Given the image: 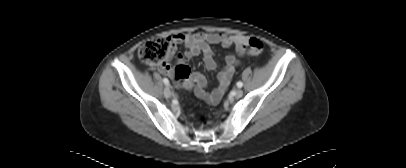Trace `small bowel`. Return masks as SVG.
<instances>
[{"mask_svg": "<svg viewBox=\"0 0 406 168\" xmlns=\"http://www.w3.org/2000/svg\"><path fill=\"white\" fill-rule=\"evenodd\" d=\"M172 40L173 46L170 54L171 56L175 54L176 44H183L185 46L184 53L177 55L178 65H184L189 68L187 60L202 54L205 67L209 70H214L217 68V62L214 58L211 45L219 44L224 48L233 46L237 53L241 55L242 44L246 43L248 39L246 36L242 35L198 32L193 34H177L173 36ZM224 61L225 67L218 74V84L211 93L206 92L205 88L207 81L200 73L191 74L189 71L186 76L177 77L174 69L168 62L156 65L154 68L161 74L171 76L178 84L183 86H190L194 83V93L196 96L208 103H217L228 89L235 73V67L239 63L237 57L233 54L226 55Z\"/></svg>", "mask_w": 406, "mask_h": 168, "instance_id": "obj_1", "label": "small bowel"}]
</instances>
